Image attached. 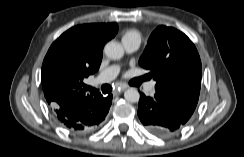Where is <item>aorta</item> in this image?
<instances>
[{"mask_svg": "<svg viewBox=\"0 0 244 157\" xmlns=\"http://www.w3.org/2000/svg\"><path fill=\"white\" fill-rule=\"evenodd\" d=\"M104 52L112 60L121 59L124 55L123 47L117 42L111 41L105 45ZM124 98L131 103L139 101L140 94L137 89L129 88L124 92Z\"/></svg>", "mask_w": 244, "mask_h": 157, "instance_id": "aorta-1", "label": "aorta"}]
</instances>
